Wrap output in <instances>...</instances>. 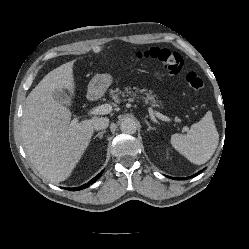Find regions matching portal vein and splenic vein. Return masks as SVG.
<instances>
[{
	"instance_id": "1",
	"label": "portal vein and splenic vein",
	"mask_w": 249,
	"mask_h": 249,
	"mask_svg": "<svg viewBox=\"0 0 249 249\" xmlns=\"http://www.w3.org/2000/svg\"><path fill=\"white\" fill-rule=\"evenodd\" d=\"M113 110V107L111 104H102L100 106L94 107L91 110L88 111L89 115H101V114H109L111 111ZM149 112L155 114L159 119L163 120V121H170V119L159 113V112H155L153 111L151 108H149ZM79 118H75L72 121V124H76L78 122Z\"/></svg>"
}]
</instances>
